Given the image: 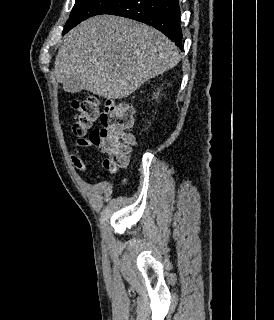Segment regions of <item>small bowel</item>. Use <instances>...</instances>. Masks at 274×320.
Returning <instances> with one entry per match:
<instances>
[{"label": "small bowel", "instance_id": "obj_1", "mask_svg": "<svg viewBox=\"0 0 274 320\" xmlns=\"http://www.w3.org/2000/svg\"><path fill=\"white\" fill-rule=\"evenodd\" d=\"M90 146H92V144L89 141V139H86V138L79 139L76 142V149L70 155L73 166L82 172H89V169L82 158V154L80 150Z\"/></svg>", "mask_w": 274, "mask_h": 320}]
</instances>
